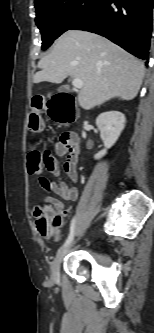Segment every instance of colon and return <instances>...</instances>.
Returning <instances> with one entry per match:
<instances>
[{
	"instance_id": "obj_1",
	"label": "colon",
	"mask_w": 154,
	"mask_h": 333,
	"mask_svg": "<svg viewBox=\"0 0 154 333\" xmlns=\"http://www.w3.org/2000/svg\"><path fill=\"white\" fill-rule=\"evenodd\" d=\"M44 108V100L41 97L33 99L31 104V114L29 117V128L39 131L42 127L40 112ZM27 167L31 174H38L43 170L44 163L42 154L30 148L27 153ZM37 227L39 231L50 238H58L59 227L61 225L62 214L48 206H39L35 209Z\"/></svg>"
}]
</instances>
